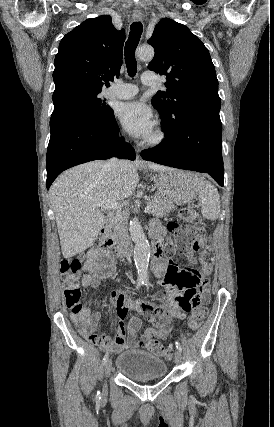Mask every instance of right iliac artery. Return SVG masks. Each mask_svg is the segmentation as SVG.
Masks as SVG:
<instances>
[{
	"label": "right iliac artery",
	"mask_w": 274,
	"mask_h": 427,
	"mask_svg": "<svg viewBox=\"0 0 274 427\" xmlns=\"http://www.w3.org/2000/svg\"><path fill=\"white\" fill-rule=\"evenodd\" d=\"M142 284H144V282H142V281H138V282H137V284H136V289H138ZM107 360H108V353H106V354H105V356H104V358H103V365H105V364H106ZM96 398H97V399H100V398H101V397H100V391H97Z\"/></svg>",
	"instance_id": "right-iliac-artery-1"
}]
</instances>
